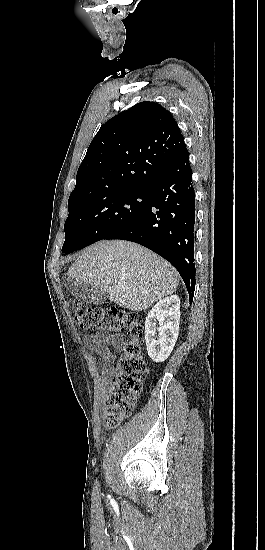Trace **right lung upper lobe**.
I'll use <instances>...</instances> for the list:
<instances>
[{"mask_svg":"<svg viewBox=\"0 0 265 550\" xmlns=\"http://www.w3.org/2000/svg\"><path fill=\"white\" fill-rule=\"evenodd\" d=\"M185 151L172 115L158 103L140 102L109 119L95 135L68 203L150 188Z\"/></svg>","mask_w":265,"mask_h":550,"instance_id":"obj_1","label":"right lung upper lobe"}]
</instances>
